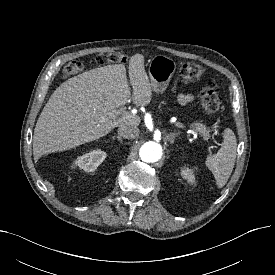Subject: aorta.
Masks as SVG:
<instances>
[{"label": "aorta", "mask_w": 275, "mask_h": 275, "mask_svg": "<svg viewBox=\"0 0 275 275\" xmlns=\"http://www.w3.org/2000/svg\"><path fill=\"white\" fill-rule=\"evenodd\" d=\"M162 153V146L159 143L148 141L141 146L139 156L142 161L153 163L161 159Z\"/></svg>", "instance_id": "aorta-1"}]
</instances>
